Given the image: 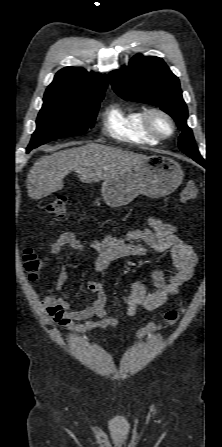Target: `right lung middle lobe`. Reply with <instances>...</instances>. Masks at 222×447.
Wrapping results in <instances>:
<instances>
[{
	"label": "right lung middle lobe",
	"mask_w": 222,
	"mask_h": 447,
	"mask_svg": "<svg viewBox=\"0 0 222 447\" xmlns=\"http://www.w3.org/2000/svg\"><path fill=\"white\" fill-rule=\"evenodd\" d=\"M104 95L78 97L60 92H45L37 117V129L27 147L29 152L46 142L81 134L94 126Z\"/></svg>",
	"instance_id": "dd1d6c3e"
}]
</instances>
